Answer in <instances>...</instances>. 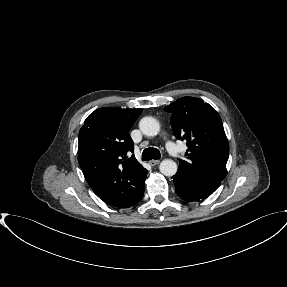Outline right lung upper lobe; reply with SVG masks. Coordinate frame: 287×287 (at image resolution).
Masks as SVG:
<instances>
[{"label": "right lung upper lobe", "instance_id": "obj_1", "mask_svg": "<svg viewBox=\"0 0 287 287\" xmlns=\"http://www.w3.org/2000/svg\"><path fill=\"white\" fill-rule=\"evenodd\" d=\"M142 109L104 107L92 112L79 132L78 162L95 194L110 206L129 203L147 170L128 157L134 151L129 131Z\"/></svg>", "mask_w": 287, "mask_h": 287}]
</instances>
